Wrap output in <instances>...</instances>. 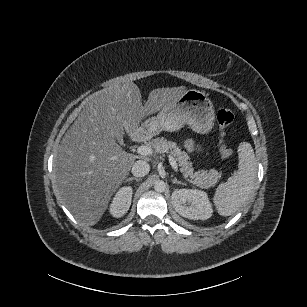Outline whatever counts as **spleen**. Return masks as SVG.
<instances>
[{
    "label": "spleen",
    "mask_w": 307,
    "mask_h": 307,
    "mask_svg": "<svg viewBox=\"0 0 307 307\" xmlns=\"http://www.w3.org/2000/svg\"><path fill=\"white\" fill-rule=\"evenodd\" d=\"M238 170L225 183L220 184L213 197L214 205L222 216H230L250 197L256 188L257 166L250 143L238 147Z\"/></svg>",
    "instance_id": "spleen-1"
}]
</instances>
